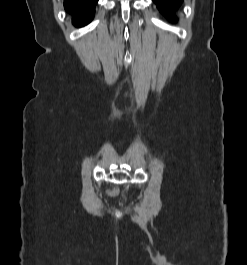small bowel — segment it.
<instances>
[{
  "label": "small bowel",
  "instance_id": "small-bowel-1",
  "mask_svg": "<svg viewBox=\"0 0 247 265\" xmlns=\"http://www.w3.org/2000/svg\"><path fill=\"white\" fill-rule=\"evenodd\" d=\"M110 194L114 195L117 193V189H112L111 191H109Z\"/></svg>",
  "mask_w": 247,
  "mask_h": 265
}]
</instances>
